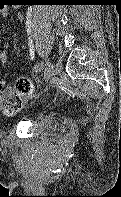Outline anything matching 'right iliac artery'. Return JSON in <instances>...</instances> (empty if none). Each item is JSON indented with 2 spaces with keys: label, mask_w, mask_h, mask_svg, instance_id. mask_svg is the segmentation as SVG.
<instances>
[{
  "label": "right iliac artery",
  "mask_w": 121,
  "mask_h": 197,
  "mask_svg": "<svg viewBox=\"0 0 121 197\" xmlns=\"http://www.w3.org/2000/svg\"><path fill=\"white\" fill-rule=\"evenodd\" d=\"M44 68V65L43 63H38L36 66H35V72L36 73H40Z\"/></svg>",
  "instance_id": "right-iliac-artery-1"
}]
</instances>
